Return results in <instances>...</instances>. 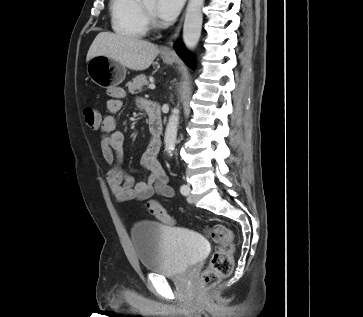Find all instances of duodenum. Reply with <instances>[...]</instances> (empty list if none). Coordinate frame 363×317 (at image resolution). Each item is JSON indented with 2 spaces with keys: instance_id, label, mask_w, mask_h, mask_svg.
<instances>
[{
  "instance_id": "1",
  "label": "duodenum",
  "mask_w": 363,
  "mask_h": 317,
  "mask_svg": "<svg viewBox=\"0 0 363 317\" xmlns=\"http://www.w3.org/2000/svg\"><path fill=\"white\" fill-rule=\"evenodd\" d=\"M148 124L150 132V144L160 148L162 142L163 122L160 106L156 103H148Z\"/></svg>"
}]
</instances>
